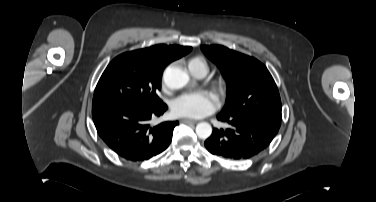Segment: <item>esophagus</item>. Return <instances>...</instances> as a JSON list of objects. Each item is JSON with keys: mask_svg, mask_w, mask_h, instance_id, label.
<instances>
[{"mask_svg": "<svg viewBox=\"0 0 376 202\" xmlns=\"http://www.w3.org/2000/svg\"><path fill=\"white\" fill-rule=\"evenodd\" d=\"M182 122L188 123V124H195V123H197L196 120H191V119H182Z\"/></svg>", "mask_w": 376, "mask_h": 202, "instance_id": "34e87169", "label": "esophagus"}]
</instances>
